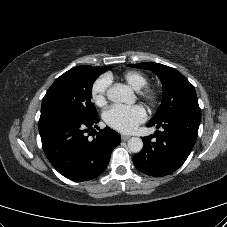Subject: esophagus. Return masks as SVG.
<instances>
[{"label":"esophagus","instance_id":"esophagus-1","mask_svg":"<svg viewBox=\"0 0 227 227\" xmlns=\"http://www.w3.org/2000/svg\"><path fill=\"white\" fill-rule=\"evenodd\" d=\"M128 139H130V136L121 135V140H122V141H127Z\"/></svg>","mask_w":227,"mask_h":227}]
</instances>
